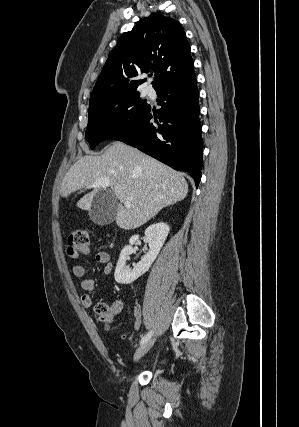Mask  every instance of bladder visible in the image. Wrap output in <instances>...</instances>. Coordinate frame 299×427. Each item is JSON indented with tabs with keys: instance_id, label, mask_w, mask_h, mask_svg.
Masks as SVG:
<instances>
[{
	"instance_id": "1",
	"label": "bladder",
	"mask_w": 299,
	"mask_h": 427,
	"mask_svg": "<svg viewBox=\"0 0 299 427\" xmlns=\"http://www.w3.org/2000/svg\"><path fill=\"white\" fill-rule=\"evenodd\" d=\"M152 372L157 373L160 371V365L159 363H154L150 369Z\"/></svg>"
}]
</instances>
